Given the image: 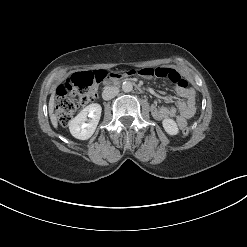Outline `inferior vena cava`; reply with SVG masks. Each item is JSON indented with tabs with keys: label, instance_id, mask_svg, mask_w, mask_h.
<instances>
[{
	"label": "inferior vena cava",
	"instance_id": "602c4592",
	"mask_svg": "<svg viewBox=\"0 0 247 247\" xmlns=\"http://www.w3.org/2000/svg\"><path fill=\"white\" fill-rule=\"evenodd\" d=\"M119 93V88L116 86H107L102 92V98L104 100H110Z\"/></svg>",
	"mask_w": 247,
	"mask_h": 247
}]
</instances>
